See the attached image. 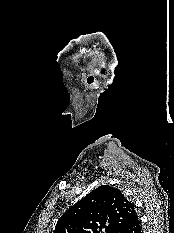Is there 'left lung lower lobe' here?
Returning <instances> with one entry per match:
<instances>
[{"label":"left lung lower lobe","instance_id":"1","mask_svg":"<svg viewBox=\"0 0 174 233\" xmlns=\"http://www.w3.org/2000/svg\"><path fill=\"white\" fill-rule=\"evenodd\" d=\"M119 233H142L141 222L138 215L125 224Z\"/></svg>","mask_w":174,"mask_h":233}]
</instances>
